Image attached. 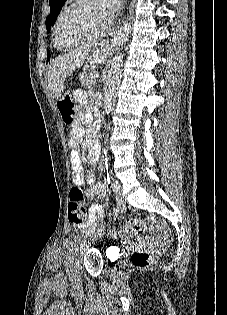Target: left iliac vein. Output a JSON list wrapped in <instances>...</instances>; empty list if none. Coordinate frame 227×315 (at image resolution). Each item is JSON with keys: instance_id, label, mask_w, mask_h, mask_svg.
Returning <instances> with one entry per match:
<instances>
[{"instance_id": "1", "label": "left iliac vein", "mask_w": 227, "mask_h": 315, "mask_svg": "<svg viewBox=\"0 0 227 315\" xmlns=\"http://www.w3.org/2000/svg\"><path fill=\"white\" fill-rule=\"evenodd\" d=\"M113 189L116 193V201H117V206L122 207L125 203V196L122 193V188L119 182L114 181V186ZM103 233V228L97 229L94 233L92 238L97 239L99 236H101Z\"/></svg>"}]
</instances>
